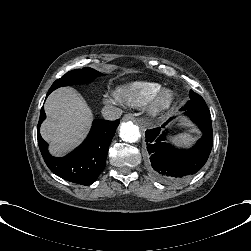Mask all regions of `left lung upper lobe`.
<instances>
[{
  "label": "left lung upper lobe",
  "mask_w": 251,
  "mask_h": 251,
  "mask_svg": "<svg viewBox=\"0 0 251 251\" xmlns=\"http://www.w3.org/2000/svg\"><path fill=\"white\" fill-rule=\"evenodd\" d=\"M189 96L190 101L183 109H197L206 113H210L204 99L200 95L190 90Z\"/></svg>",
  "instance_id": "1"
}]
</instances>
